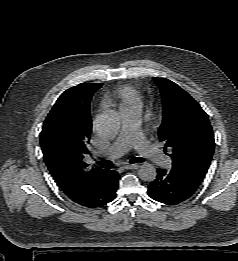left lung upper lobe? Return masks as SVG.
Segmentation results:
<instances>
[{
    "instance_id": "left-lung-upper-lobe-1",
    "label": "left lung upper lobe",
    "mask_w": 238,
    "mask_h": 261,
    "mask_svg": "<svg viewBox=\"0 0 238 261\" xmlns=\"http://www.w3.org/2000/svg\"><path fill=\"white\" fill-rule=\"evenodd\" d=\"M163 101V122L158 136L171 151L172 170L179 176L200 184L214 153V134L208 115L176 83L153 78ZM164 151H167L165 148Z\"/></svg>"
}]
</instances>
